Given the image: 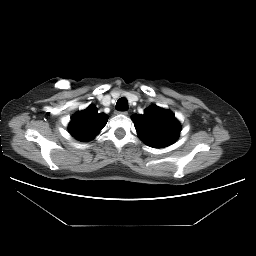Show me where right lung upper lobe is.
I'll return each mask as SVG.
<instances>
[{"instance_id":"1","label":"right lung upper lobe","mask_w":256,"mask_h":256,"mask_svg":"<svg viewBox=\"0 0 256 256\" xmlns=\"http://www.w3.org/2000/svg\"><path fill=\"white\" fill-rule=\"evenodd\" d=\"M107 121L106 114H98V109L94 105H90L71 118L69 131L80 141H90L105 127Z\"/></svg>"}]
</instances>
